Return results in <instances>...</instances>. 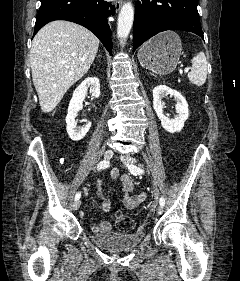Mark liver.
Returning a JSON list of instances; mask_svg holds the SVG:
<instances>
[{"label": "liver", "mask_w": 240, "mask_h": 281, "mask_svg": "<svg viewBox=\"0 0 240 281\" xmlns=\"http://www.w3.org/2000/svg\"><path fill=\"white\" fill-rule=\"evenodd\" d=\"M98 38L85 27L57 20L35 35L30 50L32 79L41 110L51 112L67 90L90 69Z\"/></svg>", "instance_id": "liver-1"}]
</instances>
